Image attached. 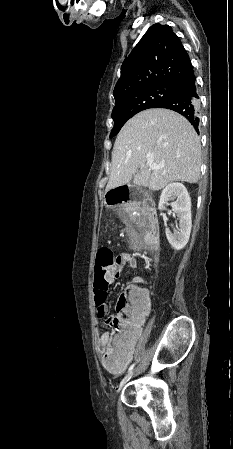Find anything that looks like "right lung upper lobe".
I'll return each mask as SVG.
<instances>
[{
	"label": "right lung upper lobe",
	"mask_w": 233,
	"mask_h": 449,
	"mask_svg": "<svg viewBox=\"0 0 233 449\" xmlns=\"http://www.w3.org/2000/svg\"><path fill=\"white\" fill-rule=\"evenodd\" d=\"M194 76L179 37L168 25H152L121 66L114 98L153 86L174 85Z\"/></svg>",
	"instance_id": "obj_1"
}]
</instances>
